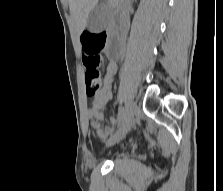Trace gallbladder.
I'll list each match as a JSON object with an SVG mask.
<instances>
[{
	"mask_svg": "<svg viewBox=\"0 0 223 191\" xmlns=\"http://www.w3.org/2000/svg\"><path fill=\"white\" fill-rule=\"evenodd\" d=\"M109 17V11L103 8L101 5H96L88 15L87 29L92 33H98L102 31Z\"/></svg>",
	"mask_w": 223,
	"mask_h": 191,
	"instance_id": "1",
	"label": "gallbladder"
}]
</instances>
